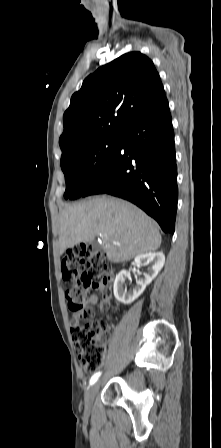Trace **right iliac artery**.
Returning <instances> with one entry per match:
<instances>
[{
	"label": "right iliac artery",
	"instance_id": "obj_1",
	"mask_svg": "<svg viewBox=\"0 0 221 448\" xmlns=\"http://www.w3.org/2000/svg\"><path fill=\"white\" fill-rule=\"evenodd\" d=\"M100 375H101V372L95 373L90 379V385L94 384L98 380Z\"/></svg>",
	"mask_w": 221,
	"mask_h": 448
}]
</instances>
